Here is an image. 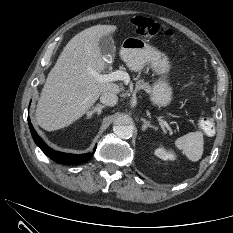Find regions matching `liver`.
<instances>
[{"mask_svg":"<svg viewBox=\"0 0 233 233\" xmlns=\"http://www.w3.org/2000/svg\"><path fill=\"white\" fill-rule=\"evenodd\" d=\"M117 30L115 25H95L76 34L64 47L42 89L36 109L37 124L54 131L79 119L106 92H120L117 84L100 83L88 72H102L106 62L99 40Z\"/></svg>","mask_w":233,"mask_h":233,"instance_id":"1","label":"liver"}]
</instances>
